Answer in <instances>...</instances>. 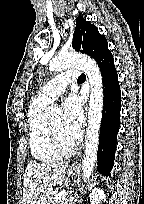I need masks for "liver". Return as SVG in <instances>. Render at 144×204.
<instances>
[{
	"label": "liver",
	"instance_id": "6515ba94",
	"mask_svg": "<svg viewBox=\"0 0 144 204\" xmlns=\"http://www.w3.org/2000/svg\"><path fill=\"white\" fill-rule=\"evenodd\" d=\"M67 167V162L28 163L23 181V204H35L40 192L61 184Z\"/></svg>",
	"mask_w": 144,
	"mask_h": 204
}]
</instances>
